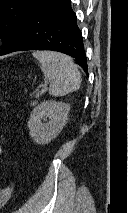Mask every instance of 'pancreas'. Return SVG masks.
I'll return each mask as SVG.
<instances>
[{
    "label": "pancreas",
    "mask_w": 128,
    "mask_h": 213,
    "mask_svg": "<svg viewBox=\"0 0 128 213\" xmlns=\"http://www.w3.org/2000/svg\"><path fill=\"white\" fill-rule=\"evenodd\" d=\"M38 103V100H34L31 102V106H35Z\"/></svg>",
    "instance_id": "cf45deb5"
}]
</instances>
